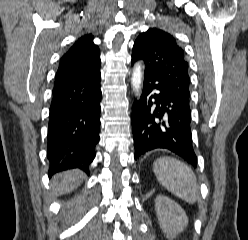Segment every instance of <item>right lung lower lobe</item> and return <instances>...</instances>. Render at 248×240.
I'll return each mask as SVG.
<instances>
[{"label":"right lung lower lobe","instance_id":"98d812e1","mask_svg":"<svg viewBox=\"0 0 248 240\" xmlns=\"http://www.w3.org/2000/svg\"><path fill=\"white\" fill-rule=\"evenodd\" d=\"M100 70L54 87L48 125L49 175L79 168L89 172L100 129Z\"/></svg>","mask_w":248,"mask_h":240}]
</instances>
